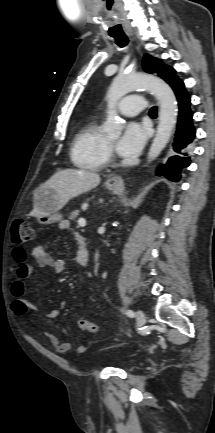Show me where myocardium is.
<instances>
[{"label": "myocardium", "mask_w": 215, "mask_h": 433, "mask_svg": "<svg viewBox=\"0 0 215 433\" xmlns=\"http://www.w3.org/2000/svg\"><path fill=\"white\" fill-rule=\"evenodd\" d=\"M107 144H108V149H109V150H112V148H113V144H112L110 141H107Z\"/></svg>", "instance_id": "myocardium-1"}]
</instances>
